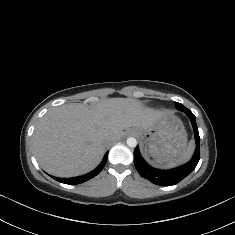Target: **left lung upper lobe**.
<instances>
[{
	"mask_svg": "<svg viewBox=\"0 0 235 235\" xmlns=\"http://www.w3.org/2000/svg\"><path fill=\"white\" fill-rule=\"evenodd\" d=\"M175 106L178 110H181L183 112H187L189 109H187L185 106H183L182 104L175 102Z\"/></svg>",
	"mask_w": 235,
	"mask_h": 235,
	"instance_id": "1",
	"label": "left lung upper lobe"
}]
</instances>
